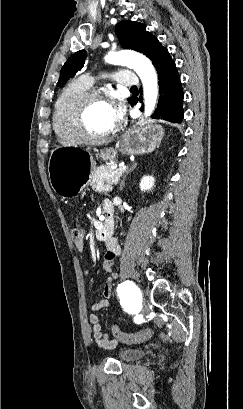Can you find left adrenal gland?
Returning <instances> with one entry per match:
<instances>
[{"mask_svg":"<svg viewBox=\"0 0 243 409\" xmlns=\"http://www.w3.org/2000/svg\"><path fill=\"white\" fill-rule=\"evenodd\" d=\"M135 163L132 165V167L126 172V174H125V176L123 177V180L121 181V184H120V191H122L123 190V188H124V186H125V179H126V176L128 175V173L130 172V171H132L133 170V168L135 167Z\"/></svg>","mask_w":243,"mask_h":409,"instance_id":"obj_1","label":"left adrenal gland"}]
</instances>
